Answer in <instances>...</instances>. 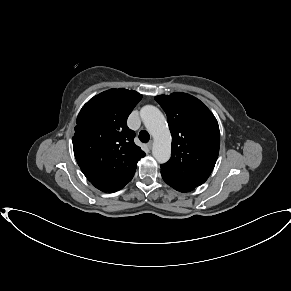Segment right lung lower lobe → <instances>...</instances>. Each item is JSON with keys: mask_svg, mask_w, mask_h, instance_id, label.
Masks as SVG:
<instances>
[{"mask_svg": "<svg viewBox=\"0 0 291 291\" xmlns=\"http://www.w3.org/2000/svg\"><path fill=\"white\" fill-rule=\"evenodd\" d=\"M135 171L136 168H134L131 172L120 178L93 180L90 182L97 189L104 192L112 193L122 189L129 181H131Z\"/></svg>", "mask_w": 291, "mask_h": 291, "instance_id": "98d812e1", "label": "right lung lower lobe"}]
</instances>
